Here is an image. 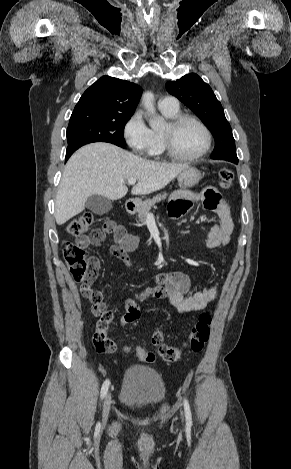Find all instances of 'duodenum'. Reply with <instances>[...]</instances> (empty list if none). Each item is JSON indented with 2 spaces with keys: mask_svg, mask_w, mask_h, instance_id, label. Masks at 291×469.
I'll list each match as a JSON object with an SVG mask.
<instances>
[{
  "mask_svg": "<svg viewBox=\"0 0 291 469\" xmlns=\"http://www.w3.org/2000/svg\"><path fill=\"white\" fill-rule=\"evenodd\" d=\"M126 211L128 213H133L136 209V203L133 200H128L125 204Z\"/></svg>",
  "mask_w": 291,
  "mask_h": 469,
  "instance_id": "duodenum-1",
  "label": "duodenum"
}]
</instances>
